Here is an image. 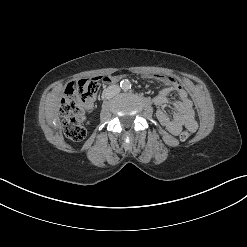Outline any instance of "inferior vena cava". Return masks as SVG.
Instances as JSON below:
<instances>
[{
    "label": "inferior vena cava",
    "mask_w": 247,
    "mask_h": 247,
    "mask_svg": "<svg viewBox=\"0 0 247 247\" xmlns=\"http://www.w3.org/2000/svg\"><path fill=\"white\" fill-rule=\"evenodd\" d=\"M119 92L120 87L118 85H111L104 90V96L105 98L109 99L117 95Z\"/></svg>",
    "instance_id": "1"
}]
</instances>
